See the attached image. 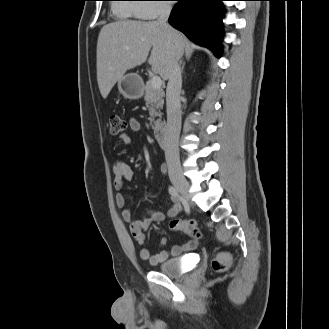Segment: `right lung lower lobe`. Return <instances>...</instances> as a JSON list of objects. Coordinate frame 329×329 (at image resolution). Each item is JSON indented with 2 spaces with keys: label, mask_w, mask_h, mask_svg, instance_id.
Here are the masks:
<instances>
[{
  "label": "right lung lower lobe",
  "mask_w": 329,
  "mask_h": 329,
  "mask_svg": "<svg viewBox=\"0 0 329 329\" xmlns=\"http://www.w3.org/2000/svg\"><path fill=\"white\" fill-rule=\"evenodd\" d=\"M169 23L192 41L220 56L222 5L225 0H177Z\"/></svg>",
  "instance_id": "right-lung-lower-lobe-1"
}]
</instances>
